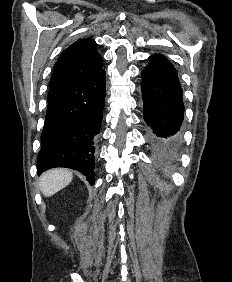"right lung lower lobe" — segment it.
I'll list each match as a JSON object with an SVG mask.
<instances>
[{"label": "right lung lower lobe", "mask_w": 232, "mask_h": 282, "mask_svg": "<svg viewBox=\"0 0 232 282\" xmlns=\"http://www.w3.org/2000/svg\"><path fill=\"white\" fill-rule=\"evenodd\" d=\"M105 70L85 78L48 100L37 171L66 167L95 182V145L106 89Z\"/></svg>", "instance_id": "right-lung-lower-lobe-1"}]
</instances>
